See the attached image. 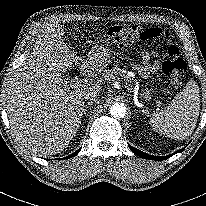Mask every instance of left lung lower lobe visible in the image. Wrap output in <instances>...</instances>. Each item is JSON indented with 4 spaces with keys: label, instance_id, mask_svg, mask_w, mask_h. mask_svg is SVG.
Wrapping results in <instances>:
<instances>
[{
    "label": "left lung lower lobe",
    "instance_id": "left-lung-lower-lobe-1",
    "mask_svg": "<svg viewBox=\"0 0 206 206\" xmlns=\"http://www.w3.org/2000/svg\"><path fill=\"white\" fill-rule=\"evenodd\" d=\"M129 147L132 150V152L135 153L137 156L143 157L145 159L158 160V161L165 160V159L171 157L172 155L181 152L184 149V148L180 149V150L176 151L175 153L168 155V156L159 157V156L148 155V154H146V153H144V152H142V151H140L132 146H129Z\"/></svg>",
    "mask_w": 206,
    "mask_h": 206
}]
</instances>
